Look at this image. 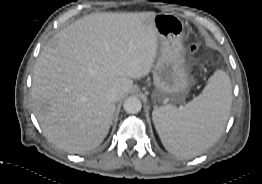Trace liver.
<instances>
[{
	"label": "liver",
	"mask_w": 262,
	"mask_h": 184,
	"mask_svg": "<svg viewBox=\"0 0 262 184\" xmlns=\"http://www.w3.org/2000/svg\"><path fill=\"white\" fill-rule=\"evenodd\" d=\"M154 12H103L85 16L56 33L34 66L32 100L47 139L70 153L98 147L132 79L149 74L159 46Z\"/></svg>",
	"instance_id": "6515ba94"
}]
</instances>
